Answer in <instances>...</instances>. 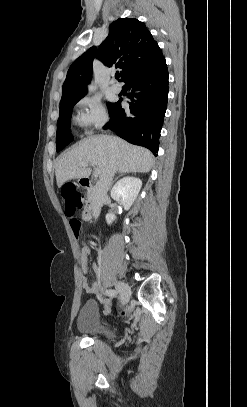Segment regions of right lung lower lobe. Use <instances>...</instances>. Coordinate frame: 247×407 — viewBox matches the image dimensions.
<instances>
[{
  "mask_svg": "<svg viewBox=\"0 0 247 407\" xmlns=\"http://www.w3.org/2000/svg\"><path fill=\"white\" fill-rule=\"evenodd\" d=\"M131 91L130 107L121 100L109 111L110 122L104 128L114 131L126 141L158 153L159 137L167 108L168 70L162 57L131 72L124 80Z\"/></svg>",
  "mask_w": 247,
  "mask_h": 407,
  "instance_id": "1",
  "label": "right lung lower lobe"
}]
</instances>
